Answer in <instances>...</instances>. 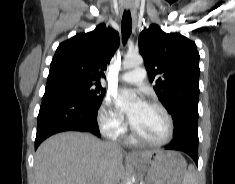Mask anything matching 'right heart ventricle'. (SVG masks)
<instances>
[{
  "instance_id": "obj_1",
  "label": "right heart ventricle",
  "mask_w": 235,
  "mask_h": 184,
  "mask_svg": "<svg viewBox=\"0 0 235 184\" xmlns=\"http://www.w3.org/2000/svg\"><path fill=\"white\" fill-rule=\"evenodd\" d=\"M128 141H129V142H133V140H132L131 138H128Z\"/></svg>"
}]
</instances>
